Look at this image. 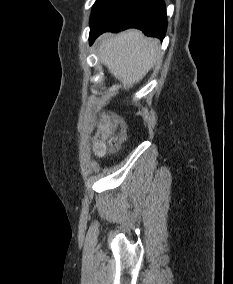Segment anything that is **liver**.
I'll use <instances>...</instances> for the list:
<instances>
[{"instance_id":"1","label":"liver","mask_w":233,"mask_h":284,"mask_svg":"<svg viewBox=\"0 0 233 284\" xmlns=\"http://www.w3.org/2000/svg\"><path fill=\"white\" fill-rule=\"evenodd\" d=\"M159 41L138 30L113 35L104 34L98 49L99 59L125 89L138 83L148 73L159 55Z\"/></svg>"}]
</instances>
